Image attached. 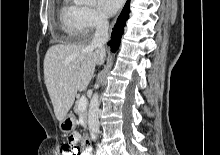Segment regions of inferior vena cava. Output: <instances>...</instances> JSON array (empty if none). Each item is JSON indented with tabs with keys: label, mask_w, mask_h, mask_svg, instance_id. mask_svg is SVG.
I'll return each instance as SVG.
<instances>
[{
	"label": "inferior vena cava",
	"mask_w": 220,
	"mask_h": 155,
	"mask_svg": "<svg viewBox=\"0 0 220 155\" xmlns=\"http://www.w3.org/2000/svg\"><path fill=\"white\" fill-rule=\"evenodd\" d=\"M108 28L109 22L107 20V17L105 15H102L97 24L94 39L92 40V43L90 45L92 49H95V52L98 55L97 64L99 65L104 62L106 55L104 45L109 38Z\"/></svg>",
	"instance_id": "obj_1"
}]
</instances>
